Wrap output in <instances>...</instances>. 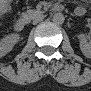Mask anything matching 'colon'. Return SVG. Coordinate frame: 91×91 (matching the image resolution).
I'll return each mask as SVG.
<instances>
[{"label": "colon", "instance_id": "obj_1", "mask_svg": "<svg viewBox=\"0 0 91 91\" xmlns=\"http://www.w3.org/2000/svg\"><path fill=\"white\" fill-rule=\"evenodd\" d=\"M10 7V3L7 0H4L0 3V9L3 13L7 12Z\"/></svg>", "mask_w": 91, "mask_h": 91}]
</instances>
